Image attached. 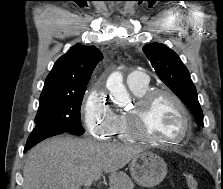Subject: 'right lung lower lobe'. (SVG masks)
I'll return each instance as SVG.
<instances>
[{
    "instance_id": "right-lung-lower-lobe-1",
    "label": "right lung lower lobe",
    "mask_w": 223,
    "mask_h": 189,
    "mask_svg": "<svg viewBox=\"0 0 223 189\" xmlns=\"http://www.w3.org/2000/svg\"><path fill=\"white\" fill-rule=\"evenodd\" d=\"M62 133H64V132L58 131V130L32 132L28 137L26 146L24 148V152H26L28 149L35 146L37 143L41 142L42 140H44L48 137H51V136L62 134Z\"/></svg>"
}]
</instances>
